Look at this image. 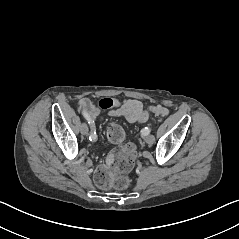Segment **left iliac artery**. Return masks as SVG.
Listing matches in <instances>:
<instances>
[{
	"label": "left iliac artery",
	"instance_id": "44dca946",
	"mask_svg": "<svg viewBox=\"0 0 239 239\" xmlns=\"http://www.w3.org/2000/svg\"><path fill=\"white\" fill-rule=\"evenodd\" d=\"M150 132H151V129H150V128H147V127L143 128V129L141 130V134H142L143 136H147Z\"/></svg>",
	"mask_w": 239,
	"mask_h": 239
}]
</instances>
